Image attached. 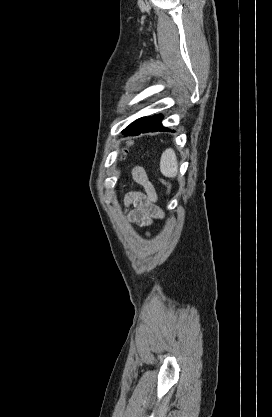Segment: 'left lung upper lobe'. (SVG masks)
Masks as SVG:
<instances>
[{
  "mask_svg": "<svg viewBox=\"0 0 272 417\" xmlns=\"http://www.w3.org/2000/svg\"><path fill=\"white\" fill-rule=\"evenodd\" d=\"M148 117H142L131 123L129 126H127L122 133L126 136L131 133L134 130H137L138 128L142 127L148 120Z\"/></svg>",
  "mask_w": 272,
  "mask_h": 417,
  "instance_id": "left-lung-upper-lobe-1",
  "label": "left lung upper lobe"
}]
</instances>
